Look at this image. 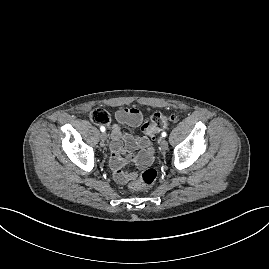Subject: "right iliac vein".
I'll use <instances>...</instances> for the list:
<instances>
[{
  "label": "right iliac vein",
  "mask_w": 269,
  "mask_h": 269,
  "mask_svg": "<svg viewBox=\"0 0 269 269\" xmlns=\"http://www.w3.org/2000/svg\"><path fill=\"white\" fill-rule=\"evenodd\" d=\"M107 133L103 132L101 135H100V138H101V141L102 142H105L107 140Z\"/></svg>",
  "instance_id": "obj_1"
}]
</instances>
